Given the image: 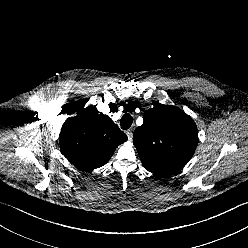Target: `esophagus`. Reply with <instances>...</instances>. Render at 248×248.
<instances>
[{
  "instance_id": "esophagus-1",
  "label": "esophagus",
  "mask_w": 248,
  "mask_h": 248,
  "mask_svg": "<svg viewBox=\"0 0 248 248\" xmlns=\"http://www.w3.org/2000/svg\"><path fill=\"white\" fill-rule=\"evenodd\" d=\"M133 130H134V128L132 127V128H130L129 130L126 131L127 137H128V139H129L130 141H131L132 138H133Z\"/></svg>"
}]
</instances>
